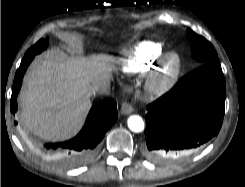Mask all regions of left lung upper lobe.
I'll use <instances>...</instances> for the list:
<instances>
[{
    "instance_id": "left-lung-upper-lobe-1",
    "label": "left lung upper lobe",
    "mask_w": 245,
    "mask_h": 187,
    "mask_svg": "<svg viewBox=\"0 0 245 187\" xmlns=\"http://www.w3.org/2000/svg\"><path fill=\"white\" fill-rule=\"evenodd\" d=\"M187 36L192 46V56L200 65L217 60L218 55L209 41L190 29L187 30Z\"/></svg>"
}]
</instances>
